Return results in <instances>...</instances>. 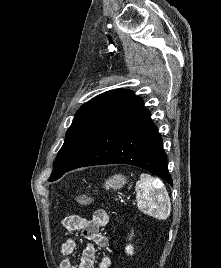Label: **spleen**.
<instances>
[{"instance_id":"obj_1","label":"spleen","mask_w":221,"mask_h":268,"mask_svg":"<svg viewBox=\"0 0 221 268\" xmlns=\"http://www.w3.org/2000/svg\"><path fill=\"white\" fill-rule=\"evenodd\" d=\"M135 190L139 210L161 220L169 216L171 209L170 198L160 179L142 173L140 180L136 183Z\"/></svg>"}]
</instances>
